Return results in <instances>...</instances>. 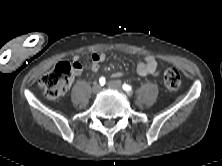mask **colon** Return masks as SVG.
<instances>
[{"label": "colon", "mask_w": 222, "mask_h": 166, "mask_svg": "<svg viewBox=\"0 0 222 166\" xmlns=\"http://www.w3.org/2000/svg\"><path fill=\"white\" fill-rule=\"evenodd\" d=\"M79 68H81L79 63L59 62L51 71L39 79L38 84L48 97H61L66 93L74 78L75 71ZM163 80L164 86L169 91H176L181 86V77L175 68H166Z\"/></svg>", "instance_id": "1"}]
</instances>
